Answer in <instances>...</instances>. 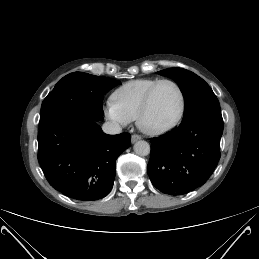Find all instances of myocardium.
<instances>
[{"mask_svg": "<svg viewBox=\"0 0 259 259\" xmlns=\"http://www.w3.org/2000/svg\"><path fill=\"white\" fill-rule=\"evenodd\" d=\"M163 83H170L177 89V91L179 93V97H180L179 111H178V114L176 115V117L167 125L159 127V128H150L145 125L144 118L151 106V102H152V98H153L155 90L157 89V87L159 85H161ZM185 107H186L185 94H184L182 87L179 85V83L176 82L175 80L169 79V78L159 79L156 83H154L149 88V90L147 91V93L143 99L142 105L139 109V112H138V115L136 118L137 126L139 127V129L141 131H143L144 133H146L148 135L158 136V135L165 134V133L171 131L172 129H174L180 123V121L182 120L184 113H185Z\"/></svg>", "mask_w": 259, "mask_h": 259, "instance_id": "myocardium-1", "label": "myocardium"}]
</instances>
